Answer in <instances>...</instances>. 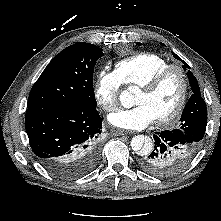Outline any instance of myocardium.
<instances>
[{
  "label": "myocardium",
  "instance_id": "myocardium-1",
  "mask_svg": "<svg viewBox=\"0 0 221 221\" xmlns=\"http://www.w3.org/2000/svg\"><path fill=\"white\" fill-rule=\"evenodd\" d=\"M173 71L177 72L180 76L181 94L177 104L168 114L155 119L156 122L160 125L168 124L174 121L181 114L182 110L185 107L189 95V80L185 70L183 69L182 66L178 64H169L165 68L158 71L147 82L139 86L140 90H143L147 93H152L162 84L165 78Z\"/></svg>",
  "mask_w": 221,
  "mask_h": 221
}]
</instances>
